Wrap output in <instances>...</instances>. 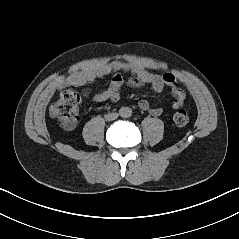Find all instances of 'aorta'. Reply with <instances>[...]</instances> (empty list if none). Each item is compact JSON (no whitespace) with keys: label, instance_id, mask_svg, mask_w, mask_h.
<instances>
[{"label":"aorta","instance_id":"762f6f07","mask_svg":"<svg viewBox=\"0 0 239 239\" xmlns=\"http://www.w3.org/2000/svg\"><path fill=\"white\" fill-rule=\"evenodd\" d=\"M132 115V110L128 107H125L121 111V116L124 118H128Z\"/></svg>","mask_w":239,"mask_h":239}]
</instances>
